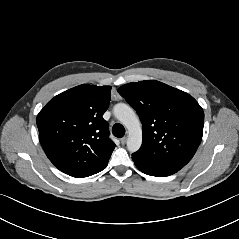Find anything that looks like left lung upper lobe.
Returning a JSON list of instances; mask_svg holds the SVG:
<instances>
[{
    "instance_id": "left-lung-upper-lobe-1",
    "label": "left lung upper lobe",
    "mask_w": 239,
    "mask_h": 239,
    "mask_svg": "<svg viewBox=\"0 0 239 239\" xmlns=\"http://www.w3.org/2000/svg\"><path fill=\"white\" fill-rule=\"evenodd\" d=\"M119 94L138 113L143 131L139 160L176 173L194 156L203 135L204 112L188 93L162 82L129 83Z\"/></svg>"
}]
</instances>
